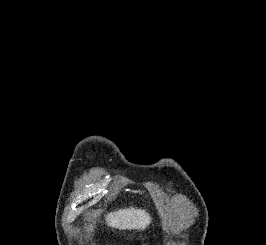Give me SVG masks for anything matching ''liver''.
Wrapping results in <instances>:
<instances>
[{"label": "liver", "instance_id": "1", "mask_svg": "<svg viewBox=\"0 0 266 245\" xmlns=\"http://www.w3.org/2000/svg\"><path fill=\"white\" fill-rule=\"evenodd\" d=\"M106 223L112 229H121V231H128V229H138V231H145L151 223L149 213L144 209H119L114 213L106 215Z\"/></svg>", "mask_w": 266, "mask_h": 245}]
</instances>
